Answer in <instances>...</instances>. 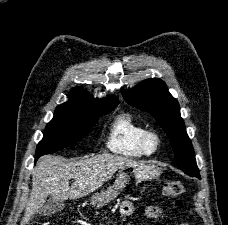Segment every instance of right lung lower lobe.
<instances>
[{"mask_svg": "<svg viewBox=\"0 0 228 225\" xmlns=\"http://www.w3.org/2000/svg\"><path fill=\"white\" fill-rule=\"evenodd\" d=\"M39 157H41V156H35V161H37V159H38Z\"/></svg>", "mask_w": 228, "mask_h": 225, "instance_id": "98d812e1", "label": "right lung lower lobe"}]
</instances>
